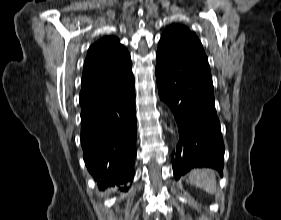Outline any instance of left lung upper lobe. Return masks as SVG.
<instances>
[{"mask_svg":"<svg viewBox=\"0 0 281 220\" xmlns=\"http://www.w3.org/2000/svg\"><path fill=\"white\" fill-rule=\"evenodd\" d=\"M156 55L182 56L210 71L201 42L194 32L183 25H170L165 29Z\"/></svg>","mask_w":281,"mask_h":220,"instance_id":"1","label":"left lung upper lobe"}]
</instances>
